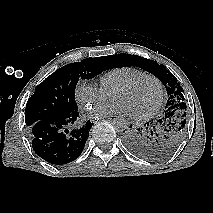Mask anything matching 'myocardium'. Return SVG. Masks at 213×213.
Masks as SVG:
<instances>
[{
	"mask_svg": "<svg viewBox=\"0 0 213 213\" xmlns=\"http://www.w3.org/2000/svg\"><path fill=\"white\" fill-rule=\"evenodd\" d=\"M145 80H152L158 85L159 97H158L156 104L149 111H147L143 114H139V115H131V117L137 121L147 120V119L151 118L152 116H154L160 110L162 103L164 101V96H165V90H164V85H163L162 81L158 77H156L152 74H145V75L136 77L133 80L119 86L112 93V95H113L114 93L119 92V91L129 90Z\"/></svg>",
	"mask_w": 213,
	"mask_h": 213,
	"instance_id": "1",
	"label": "myocardium"
}]
</instances>
